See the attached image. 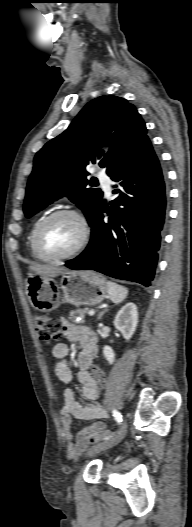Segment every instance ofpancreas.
I'll list each match as a JSON object with an SVG mask.
<instances>
[{
	"mask_svg": "<svg viewBox=\"0 0 192 527\" xmlns=\"http://www.w3.org/2000/svg\"><path fill=\"white\" fill-rule=\"evenodd\" d=\"M87 312H88L87 308L71 311L69 319L75 323H85V314Z\"/></svg>",
	"mask_w": 192,
	"mask_h": 527,
	"instance_id": "cf45deb5",
	"label": "pancreas"
}]
</instances>
